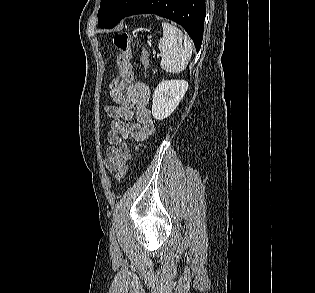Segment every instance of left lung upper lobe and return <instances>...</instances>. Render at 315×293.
Returning <instances> with one entry per match:
<instances>
[{
    "instance_id": "1",
    "label": "left lung upper lobe",
    "mask_w": 315,
    "mask_h": 293,
    "mask_svg": "<svg viewBox=\"0 0 315 293\" xmlns=\"http://www.w3.org/2000/svg\"><path fill=\"white\" fill-rule=\"evenodd\" d=\"M140 0H101L98 11L100 28H113L138 4Z\"/></svg>"
}]
</instances>
